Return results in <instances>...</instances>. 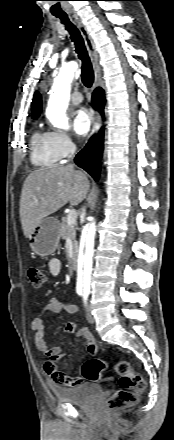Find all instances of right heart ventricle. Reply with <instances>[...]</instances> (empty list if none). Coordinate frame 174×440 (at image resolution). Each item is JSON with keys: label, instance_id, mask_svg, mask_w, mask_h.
<instances>
[{"label": "right heart ventricle", "instance_id": "obj_1", "mask_svg": "<svg viewBox=\"0 0 174 440\" xmlns=\"http://www.w3.org/2000/svg\"><path fill=\"white\" fill-rule=\"evenodd\" d=\"M31 161L35 166L52 167L61 161L54 150L51 133L36 131L31 139Z\"/></svg>", "mask_w": 174, "mask_h": 440}]
</instances>
